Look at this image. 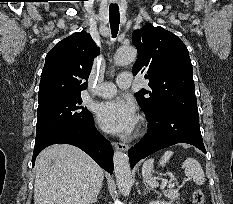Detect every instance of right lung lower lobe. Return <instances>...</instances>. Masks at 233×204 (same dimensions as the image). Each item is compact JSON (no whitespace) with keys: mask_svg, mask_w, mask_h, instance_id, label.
<instances>
[{"mask_svg":"<svg viewBox=\"0 0 233 204\" xmlns=\"http://www.w3.org/2000/svg\"><path fill=\"white\" fill-rule=\"evenodd\" d=\"M74 145L92 157L104 170L113 172V149L110 142L95 128L93 118L78 126L64 128L35 140L32 165L37 155L53 144Z\"/></svg>","mask_w":233,"mask_h":204,"instance_id":"98d812e1","label":"right lung lower lobe"}]
</instances>
